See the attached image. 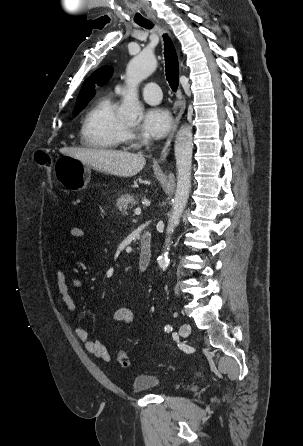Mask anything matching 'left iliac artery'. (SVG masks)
<instances>
[{"label": "left iliac artery", "instance_id": "1", "mask_svg": "<svg viewBox=\"0 0 303 446\" xmlns=\"http://www.w3.org/2000/svg\"><path fill=\"white\" fill-rule=\"evenodd\" d=\"M172 331V326L171 325H166L165 326V332H170Z\"/></svg>", "mask_w": 303, "mask_h": 446}]
</instances>
